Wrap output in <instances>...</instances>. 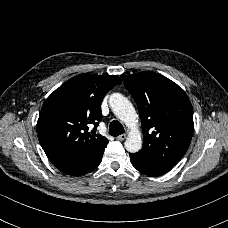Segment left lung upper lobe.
Masks as SVG:
<instances>
[{
  "label": "left lung upper lobe",
  "instance_id": "5c2ea615",
  "mask_svg": "<svg viewBox=\"0 0 228 228\" xmlns=\"http://www.w3.org/2000/svg\"><path fill=\"white\" fill-rule=\"evenodd\" d=\"M137 103L144 144L135 155L157 165H175L193 135V109L187 94L173 81L154 73L121 76Z\"/></svg>",
  "mask_w": 228,
  "mask_h": 228
}]
</instances>
